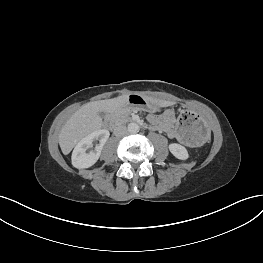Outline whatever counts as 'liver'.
<instances>
[{
	"label": "liver",
	"mask_w": 263,
	"mask_h": 263,
	"mask_svg": "<svg viewBox=\"0 0 263 263\" xmlns=\"http://www.w3.org/2000/svg\"><path fill=\"white\" fill-rule=\"evenodd\" d=\"M128 99L129 95H122L113 99L89 102L78 109L67 120L59 133L58 140L62 153L69 154L84 137L102 128L103 120L99 115L100 112L112 113L122 109L126 107ZM146 99L158 107H168L175 104L173 101Z\"/></svg>",
	"instance_id": "1"
}]
</instances>
